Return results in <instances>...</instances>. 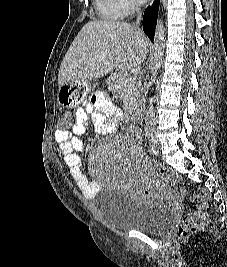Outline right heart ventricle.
Segmentation results:
<instances>
[{"instance_id": "obj_1", "label": "right heart ventricle", "mask_w": 227, "mask_h": 267, "mask_svg": "<svg viewBox=\"0 0 227 267\" xmlns=\"http://www.w3.org/2000/svg\"><path fill=\"white\" fill-rule=\"evenodd\" d=\"M95 7L99 17L106 21L119 20L124 15L118 0H95Z\"/></svg>"}]
</instances>
